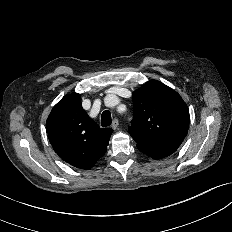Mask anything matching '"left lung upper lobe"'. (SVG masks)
I'll return each mask as SVG.
<instances>
[{"label": "left lung upper lobe", "instance_id": "5c2ea615", "mask_svg": "<svg viewBox=\"0 0 232 232\" xmlns=\"http://www.w3.org/2000/svg\"><path fill=\"white\" fill-rule=\"evenodd\" d=\"M129 133L138 145H180L188 132L189 109L180 95L152 80L134 91Z\"/></svg>", "mask_w": 232, "mask_h": 232}]
</instances>
